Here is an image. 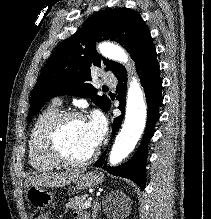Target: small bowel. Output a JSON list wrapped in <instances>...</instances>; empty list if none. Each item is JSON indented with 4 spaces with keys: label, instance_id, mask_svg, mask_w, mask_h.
<instances>
[{
    "label": "small bowel",
    "instance_id": "small-bowel-1",
    "mask_svg": "<svg viewBox=\"0 0 211 219\" xmlns=\"http://www.w3.org/2000/svg\"><path fill=\"white\" fill-rule=\"evenodd\" d=\"M75 219H87L85 216L79 214V213H76L75 214Z\"/></svg>",
    "mask_w": 211,
    "mask_h": 219
}]
</instances>
